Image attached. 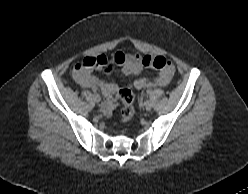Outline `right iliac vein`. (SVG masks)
Instances as JSON below:
<instances>
[{
    "mask_svg": "<svg viewBox=\"0 0 248 194\" xmlns=\"http://www.w3.org/2000/svg\"><path fill=\"white\" fill-rule=\"evenodd\" d=\"M94 100L96 103H99L101 101V97L98 94L94 95Z\"/></svg>",
    "mask_w": 248,
    "mask_h": 194,
    "instance_id": "1",
    "label": "right iliac vein"
}]
</instances>
